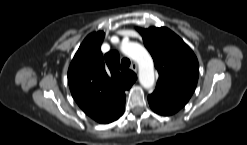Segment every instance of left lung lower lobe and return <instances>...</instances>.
<instances>
[{
    "mask_svg": "<svg viewBox=\"0 0 247 145\" xmlns=\"http://www.w3.org/2000/svg\"><path fill=\"white\" fill-rule=\"evenodd\" d=\"M188 98L172 93L163 88L156 87L154 92L148 96L151 109L160 115L169 116L186 105Z\"/></svg>",
    "mask_w": 247,
    "mask_h": 145,
    "instance_id": "1",
    "label": "left lung lower lobe"
}]
</instances>
